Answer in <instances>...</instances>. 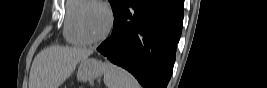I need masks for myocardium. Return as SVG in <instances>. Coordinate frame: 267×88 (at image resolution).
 I'll list each match as a JSON object with an SVG mask.
<instances>
[{
  "label": "myocardium",
  "instance_id": "myocardium-1",
  "mask_svg": "<svg viewBox=\"0 0 267 88\" xmlns=\"http://www.w3.org/2000/svg\"><path fill=\"white\" fill-rule=\"evenodd\" d=\"M91 5L98 6V7L102 8L105 11L106 15H107V26H106V29L100 36H98L96 38L90 37L87 34V32H86V30H85V28L83 26V14H84V11L88 6H91ZM113 23H114V16H113L112 10L110 9V7L106 3L102 2V1L91 0L88 4H86L80 10V12L78 13V16H77L78 31H79L81 37L87 43H98V42H101L104 39H106L107 36L110 34L112 28H113Z\"/></svg>",
  "mask_w": 267,
  "mask_h": 88
}]
</instances>
